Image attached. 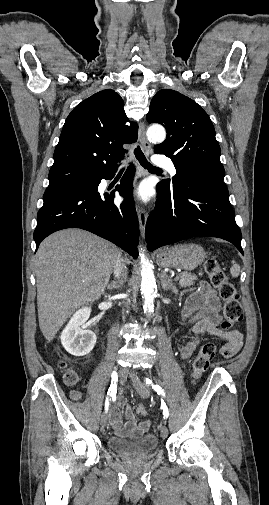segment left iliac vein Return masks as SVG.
<instances>
[{"label":"left iliac vein","mask_w":269,"mask_h":505,"mask_svg":"<svg viewBox=\"0 0 269 505\" xmlns=\"http://www.w3.org/2000/svg\"><path fill=\"white\" fill-rule=\"evenodd\" d=\"M130 377H131L133 386L136 389V391L138 392V394L144 398L148 397L149 391H148L147 387L141 382L137 373L135 371H131ZM159 430H160V436L162 438H166L168 436V429L164 423L160 425Z\"/></svg>","instance_id":"1"}]
</instances>
